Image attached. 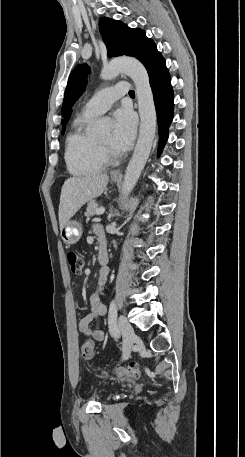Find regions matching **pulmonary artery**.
Instances as JSON below:
<instances>
[{
  "mask_svg": "<svg viewBox=\"0 0 245 457\" xmlns=\"http://www.w3.org/2000/svg\"><path fill=\"white\" fill-rule=\"evenodd\" d=\"M117 86H103L102 93H95L94 97L87 101L82 107L83 116L95 117L104 113L117 100H121L123 95H130V81L118 80Z\"/></svg>",
  "mask_w": 245,
  "mask_h": 457,
  "instance_id": "pulmonary-artery-1",
  "label": "pulmonary artery"
}]
</instances>
